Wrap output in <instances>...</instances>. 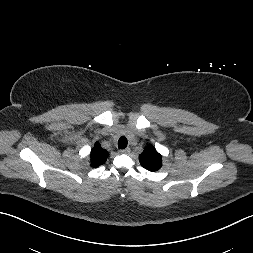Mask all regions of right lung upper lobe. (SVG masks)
Here are the masks:
<instances>
[{"label":"right lung upper lobe","instance_id":"1","mask_svg":"<svg viewBox=\"0 0 253 253\" xmlns=\"http://www.w3.org/2000/svg\"><path fill=\"white\" fill-rule=\"evenodd\" d=\"M107 157L108 152L104 150L98 142H96L93 149L91 150L92 167H97L104 164Z\"/></svg>","mask_w":253,"mask_h":253}]
</instances>
